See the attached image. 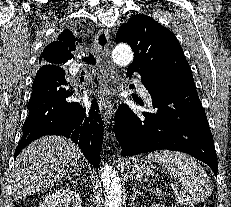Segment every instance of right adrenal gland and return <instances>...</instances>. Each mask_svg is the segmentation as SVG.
Instances as JSON below:
<instances>
[{
  "mask_svg": "<svg viewBox=\"0 0 231 207\" xmlns=\"http://www.w3.org/2000/svg\"><path fill=\"white\" fill-rule=\"evenodd\" d=\"M79 168H78V166L77 167H74V170H73V172H75V175L77 176V177H80V174H79Z\"/></svg>",
  "mask_w": 231,
  "mask_h": 207,
  "instance_id": "right-adrenal-gland-1",
  "label": "right adrenal gland"
}]
</instances>
